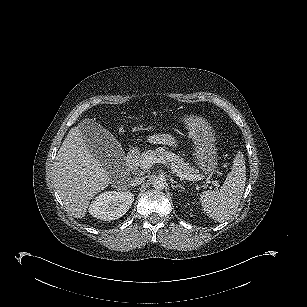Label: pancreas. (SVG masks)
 <instances>
[{
	"mask_svg": "<svg viewBox=\"0 0 307 307\" xmlns=\"http://www.w3.org/2000/svg\"><path fill=\"white\" fill-rule=\"evenodd\" d=\"M162 158L164 162L169 163L171 168L180 170L182 173L189 175H198L199 170L192 167L189 163L185 162L179 155L165 150L162 147H158L155 150H148L142 153L138 157V164L141 167V163L145 157Z\"/></svg>",
	"mask_w": 307,
	"mask_h": 307,
	"instance_id": "1",
	"label": "pancreas"
}]
</instances>
